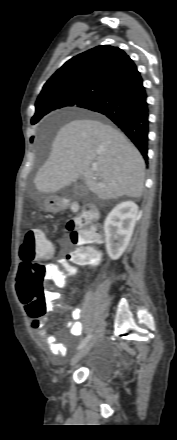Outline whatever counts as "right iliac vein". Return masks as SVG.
<instances>
[{
  "label": "right iliac vein",
  "instance_id": "right-iliac-vein-1",
  "mask_svg": "<svg viewBox=\"0 0 177 440\" xmlns=\"http://www.w3.org/2000/svg\"><path fill=\"white\" fill-rule=\"evenodd\" d=\"M105 329V323H100L96 333L91 337L88 343L72 358L71 365H75L80 359H82L96 344L97 340L103 335Z\"/></svg>",
  "mask_w": 177,
  "mask_h": 440
}]
</instances>
